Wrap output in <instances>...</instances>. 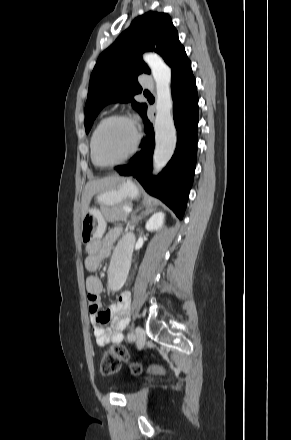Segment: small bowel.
I'll list each match as a JSON object with an SVG mask.
<instances>
[{"mask_svg": "<svg viewBox=\"0 0 291 440\" xmlns=\"http://www.w3.org/2000/svg\"><path fill=\"white\" fill-rule=\"evenodd\" d=\"M122 234L120 227H114L103 238L95 240L88 245V256L85 259V266L90 272L98 270L101 261L108 257L115 242ZM88 292L89 312L94 324V337L100 347H105L110 343H117L122 339L120 332L121 325L126 323L130 317L131 295L128 291H123L118 295L117 303L108 310H101L100 293L102 292V282L100 278L91 274L85 280ZM107 316L112 318V325L107 330L102 326L101 319Z\"/></svg>", "mask_w": 291, "mask_h": 440, "instance_id": "obj_1", "label": "small bowel"}]
</instances>
